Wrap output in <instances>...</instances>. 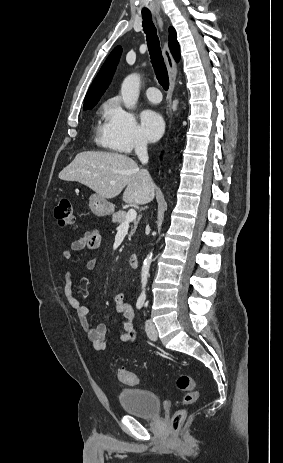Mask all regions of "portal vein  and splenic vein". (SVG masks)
<instances>
[{"instance_id":"obj_1","label":"portal vein and splenic vein","mask_w":283,"mask_h":463,"mask_svg":"<svg viewBox=\"0 0 283 463\" xmlns=\"http://www.w3.org/2000/svg\"><path fill=\"white\" fill-rule=\"evenodd\" d=\"M111 184H114V182H111ZM136 216H137L136 211L134 209H129L126 214L125 221L122 224H127L129 222H132L133 220L136 219Z\"/></svg>"}]
</instances>
